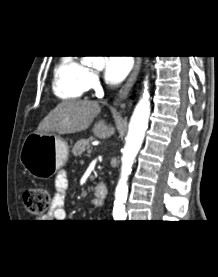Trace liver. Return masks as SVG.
<instances>
[{"instance_id": "6515ba94", "label": "liver", "mask_w": 218, "mask_h": 277, "mask_svg": "<svg viewBox=\"0 0 218 277\" xmlns=\"http://www.w3.org/2000/svg\"><path fill=\"white\" fill-rule=\"evenodd\" d=\"M97 101H62L39 124L35 133L48 135L51 133L72 134L86 130L100 113ZM93 134L106 139L115 133V128L107 125L104 120L96 122Z\"/></svg>"}]
</instances>
